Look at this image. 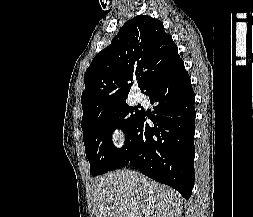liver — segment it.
<instances>
[{
  "label": "liver",
  "mask_w": 253,
  "mask_h": 217,
  "mask_svg": "<svg viewBox=\"0 0 253 217\" xmlns=\"http://www.w3.org/2000/svg\"><path fill=\"white\" fill-rule=\"evenodd\" d=\"M90 207L95 217H180L182 198L138 172L117 170L93 180Z\"/></svg>",
  "instance_id": "6515ba94"
}]
</instances>
